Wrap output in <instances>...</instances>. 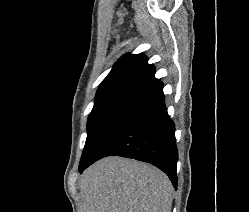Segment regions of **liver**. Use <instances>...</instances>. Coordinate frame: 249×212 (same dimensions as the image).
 <instances>
[{
  "label": "liver",
  "instance_id": "obj_1",
  "mask_svg": "<svg viewBox=\"0 0 249 212\" xmlns=\"http://www.w3.org/2000/svg\"><path fill=\"white\" fill-rule=\"evenodd\" d=\"M80 212H171L172 184L161 170L110 156L84 170Z\"/></svg>",
  "mask_w": 249,
  "mask_h": 212
}]
</instances>
